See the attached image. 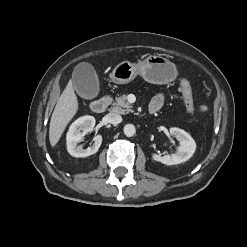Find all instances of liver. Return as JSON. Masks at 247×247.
<instances>
[{"label": "liver", "mask_w": 247, "mask_h": 247, "mask_svg": "<svg viewBox=\"0 0 247 247\" xmlns=\"http://www.w3.org/2000/svg\"><path fill=\"white\" fill-rule=\"evenodd\" d=\"M77 110L78 100L74 92L73 82L70 80L59 97L51 116L49 140L52 147L58 143L67 124L77 113Z\"/></svg>", "instance_id": "1"}]
</instances>
